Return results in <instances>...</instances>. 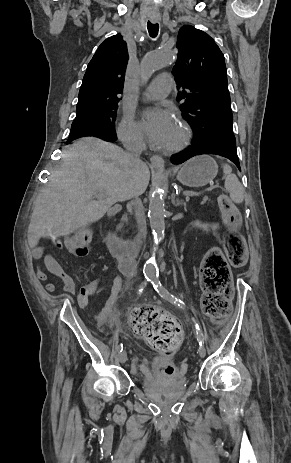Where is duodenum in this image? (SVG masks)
<instances>
[{"label": "duodenum", "mask_w": 291, "mask_h": 463, "mask_svg": "<svg viewBox=\"0 0 291 463\" xmlns=\"http://www.w3.org/2000/svg\"><path fill=\"white\" fill-rule=\"evenodd\" d=\"M124 209L121 203H111L109 205V217L112 218ZM137 238L124 240L119 238L113 231L105 232V243L110 252L116 257L135 256L138 254Z\"/></svg>", "instance_id": "obj_1"}]
</instances>
